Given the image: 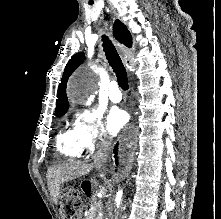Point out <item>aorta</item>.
<instances>
[{"label":"aorta","mask_w":221,"mask_h":219,"mask_svg":"<svg viewBox=\"0 0 221 219\" xmlns=\"http://www.w3.org/2000/svg\"><path fill=\"white\" fill-rule=\"evenodd\" d=\"M96 89L95 79L90 75L79 74L73 81L71 94L80 101H89ZM122 191L117 195L118 201L121 199Z\"/></svg>","instance_id":"762f6f07"}]
</instances>
